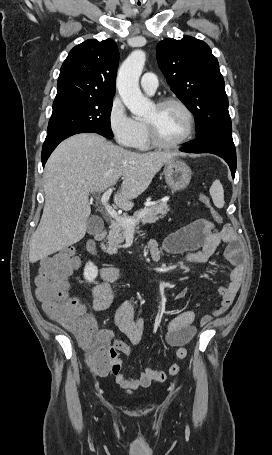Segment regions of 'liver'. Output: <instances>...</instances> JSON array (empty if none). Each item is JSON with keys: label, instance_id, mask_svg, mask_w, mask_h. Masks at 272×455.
I'll return each instance as SVG.
<instances>
[{"label": "liver", "instance_id": "liver-1", "mask_svg": "<svg viewBox=\"0 0 272 455\" xmlns=\"http://www.w3.org/2000/svg\"><path fill=\"white\" fill-rule=\"evenodd\" d=\"M178 155L132 152L96 134H78L63 141L45 166V205L30 242V262L44 259L85 236L91 193L104 192L122 177L114 202L130 210L133 200L148 188L155 174Z\"/></svg>", "mask_w": 272, "mask_h": 455}]
</instances>
